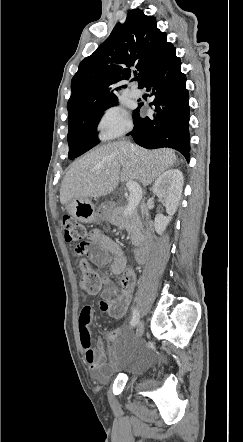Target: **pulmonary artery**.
<instances>
[{"label": "pulmonary artery", "instance_id": "e3ab8cb5", "mask_svg": "<svg viewBox=\"0 0 243 442\" xmlns=\"http://www.w3.org/2000/svg\"><path fill=\"white\" fill-rule=\"evenodd\" d=\"M130 94L133 98L138 99L142 97V91L137 87H132L130 90Z\"/></svg>", "mask_w": 243, "mask_h": 442}]
</instances>
